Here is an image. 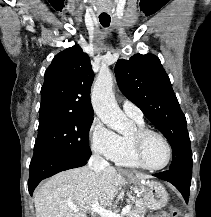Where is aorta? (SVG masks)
Masks as SVG:
<instances>
[{
	"mask_svg": "<svg viewBox=\"0 0 211 217\" xmlns=\"http://www.w3.org/2000/svg\"><path fill=\"white\" fill-rule=\"evenodd\" d=\"M91 101L96 115L114 131L124 134L131 122L119 108L113 93V75L109 70H100L94 83Z\"/></svg>",
	"mask_w": 211,
	"mask_h": 217,
	"instance_id": "aorta-1",
	"label": "aorta"
}]
</instances>
